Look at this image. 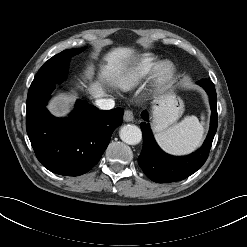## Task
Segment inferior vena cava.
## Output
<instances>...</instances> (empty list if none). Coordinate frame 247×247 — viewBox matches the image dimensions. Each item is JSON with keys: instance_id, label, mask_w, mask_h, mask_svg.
Wrapping results in <instances>:
<instances>
[{"instance_id": "1", "label": "inferior vena cava", "mask_w": 247, "mask_h": 247, "mask_svg": "<svg viewBox=\"0 0 247 247\" xmlns=\"http://www.w3.org/2000/svg\"><path fill=\"white\" fill-rule=\"evenodd\" d=\"M96 105L103 110L112 109L115 105V101L113 99H98L96 100Z\"/></svg>"}]
</instances>
